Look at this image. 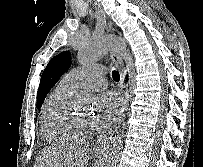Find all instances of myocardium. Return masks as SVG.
Masks as SVG:
<instances>
[{
	"label": "myocardium",
	"mask_w": 203,
	"mask_h": 167,
	"mask_svg": "<svg viewBox=\"0 0 203 167\" xmlns=\"http://www.w3.org/2000/svg\"><path fill=\"white\" fill-rule=\"evenodd\" d=\"M69 126L78 137H85L93 131L91 124L87 123L82 118L76 116L73 113L69 118Z\"/></svg>",
	"instance_id": "f54148a6"
}]
</instances>
